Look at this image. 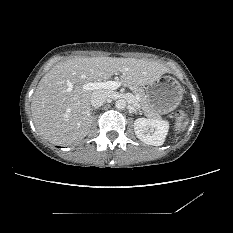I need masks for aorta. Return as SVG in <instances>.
Masks as SVG:
<instances>
[{"label":"aorta","instance_id":"762f6f07","mask_svg":"<svg viewBox=\"0 0 233 233\" xmlns=\"http://www.w3.org/2000/svg\"><path fill=\"white\" fill-rule=\"evenodd\" d=\"M127 106V102L126 100L124 99H119L115 102V107L118 109V110H124Z\"/></svg>","mask_w":233,"mask_h":233}]
</instances>
